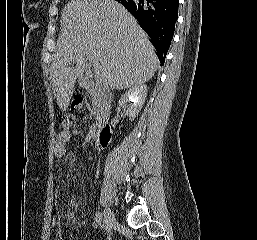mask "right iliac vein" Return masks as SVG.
Masks as SVG:
<instances>
[{"label": "right iliac vein", "instance_id": "1", "mask_svg": "<svg viewBox=\"0 0 257 240\" xmlns=\"http://www.w3.org/2000/svg\"><path fill=\"white\" fill-rule=\"evenodd\" d=\"M104 223L107 228H112L116 224V217L110 208L104 209Z\"/></svg>", "mask_w": 257, "mask_h": 240}]
</instances>
